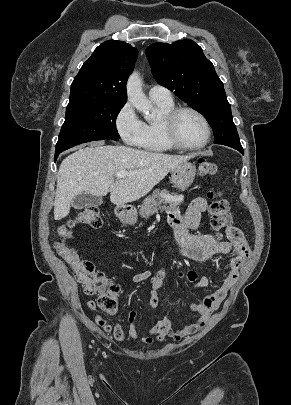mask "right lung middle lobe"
I'll return each mask as SVG.
<instances>
[{"mask_svg":"<svg viewBox=\"0 0 291 405\" xmlns=\"http://www.w3.org/2000/svg\"><path fill=\"white\" fill-rule=\"evenodd\" d=\"M124 104L110 101L68 104L55 160L62 151L81 143L104 139L117 141L120 136L116 118Z\"/></svg>","mask_w":291,"mask_h":405,"instance_id":"dd1d6c3e","label":"right lung middle lobe"}]
</instances>
